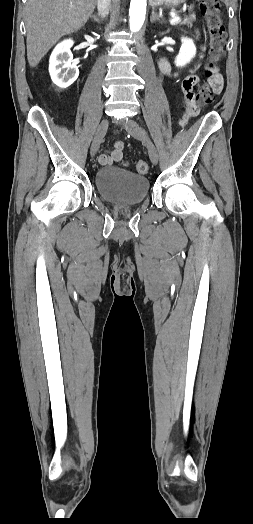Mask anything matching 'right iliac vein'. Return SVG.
<instances>
[{
    "instance_id": "1",
    "label": "right iliac vein",
    "mask_w": 253,
    "mask_h": 524,
    "mask_svg": "<svg viewBox=\"0 0 253 524\" xmlns=\"http://www.w3.org/2000/svg\"><path fill=\"white\" fill-rule=\"evenodd\" d=\"M108 125H109V121L107 119H103L101 123L99 124L97 131L95 133V137L93 139L92 145H91V156H94L97 153L100 147V144L107 132Z\"/></svg>"
}]
</instances>
